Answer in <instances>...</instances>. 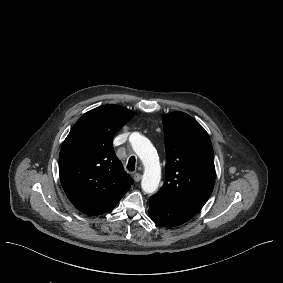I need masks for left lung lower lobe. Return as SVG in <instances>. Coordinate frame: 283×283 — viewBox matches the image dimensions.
<instances>
[{"label":"left lung lower lobe","mask_w":283,"mask_h":283,"mask_svg":"<svg viewBox=\"0 0 283 283\" xmlns=\"http://www.w3.org/2000/svg\"><path fill=\"white\" fill-rule=\"evenodd\" d=\"M200 209L197 206L172 201L157 194L150 197V217L154 222L165 227H174L185 223Z\"/></svg>","instance_id":"1"}]
</instances>
